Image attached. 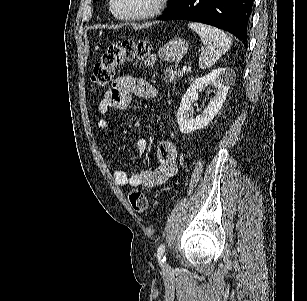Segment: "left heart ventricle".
<instances>
[{
    "label": "left heart ventricle",
    "instance_id": "1",
    "mask_svg": "<svg viewBox=\"0 0 307 301\" xmlns=\"http://www.w3.org/2000/svg\"><path fill=\"white\" fill-rule=\"evenodd\" d=\"M155 0H118L116 6V13H122V11H137L141 13L143 11H150Z\"/></svg>",
    "mask_w": 307,
    "mask_h": 301
}]
</instances>
